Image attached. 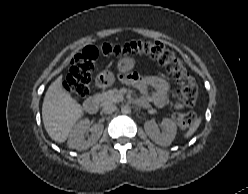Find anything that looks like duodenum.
<instances>
[{"label": "duodenum", "mask_w": 248, "mask_h": 194, "mask_svg": "<svg viewBox=\"0 0 248 194\" xmlns=\"http://www.w3.org/2000/svg\"><path fill=\"white\" fill-rule=\"evenodd\" d=\"M84 109L89 113H95L98 109V99L96 97H88L83 103Z\"/></svg>", "instance_id": "410a0bca"}]
</instances>
